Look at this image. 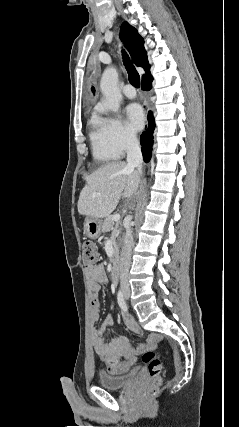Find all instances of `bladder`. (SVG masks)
Masks as SVG:
<instances>
[{"mask_svg": "<svg viewBox=\"0 0 239 427\" xmlns=\"http://www.w3.org/2000/svg\"><path fill=\"white\" fill-rule=\"evenodd\" d=\"M140 372L139 368H133L124 375H113L107 372H100L98 374V382L101 387L108 390H119L131 385L138 377Z\"/></svg>", "mask_w": 239, "mask_h": 427, "instance_id": "bladder-1", "label": "bladder"}]
</instances>
